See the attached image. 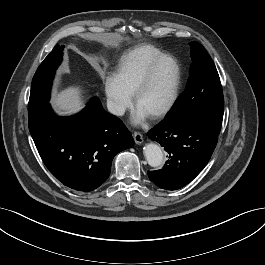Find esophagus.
I'll return each instance as SVG.
<instances>
[{
    "label": "esophagus",
    "mask_w": 265,
    "mask_h": 265,
    "mask_svg": "<svg viewBox=\"0 0 265 265\" xmlns=\"http://www.w3.org/2000/svg\"><path fill=\"white\" fill-rule=\"evenodd\" d=\"M133 138L136 144H142L143 143V136L139 132H134Z\"/></svg>",
    "instance_id": "esophagus-1"
}]
</instances>
